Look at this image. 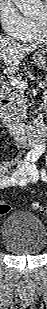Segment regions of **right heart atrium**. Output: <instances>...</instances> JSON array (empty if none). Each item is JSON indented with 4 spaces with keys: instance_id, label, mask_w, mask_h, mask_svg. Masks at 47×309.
I'll use <instances>...</instances> for the list:
<instances>
[{
    "instance_id": "right-heart-atrium-1",
    "label": "right heart atrium",
    "mask_w": 47,
    "mask_h": 309,
    "mask_svg": "<svg viewBox=\"0 0 47 309\" xmlns=\"http://www.w3.org/2000/svg\"><path fill=\"white\" fill-rule=\"evenodd\" d=\"M0 22L6 35L23 40L28 32V19L16 7L13 0H0Z\"/></svg>"
}]
</instances>
